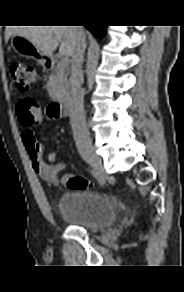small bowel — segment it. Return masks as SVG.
Wrapping results in <instances>:
<instances>
[{"label": "small bowel", "mask_w": 184, "mask_h": 292, "mask_svg": "<svg viewBox=\"0 0 184 292\" xmlns=\"http://www.w3.org/2000/svg\"><path fill=\"white\" fill-rule=\"evenodd\" d=\"M21 141L27 152L33 171L46 183L58 185L65 183L66 176L60 181L59 175L65 169V164L57 162L59 158H66L65 153L53 151L44 159V145L39 142L32 129L26 128L21 132Z\"/></svg>", "instance_id": "c3829d8e"}]
</instances>
